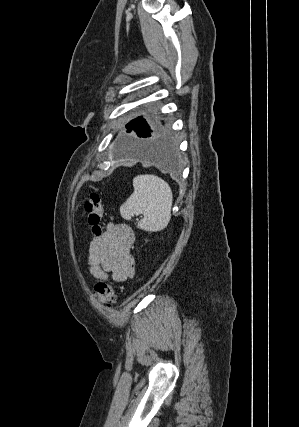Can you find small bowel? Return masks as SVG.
<instances>
[{"label":"small bowel","mask_w":299,"mask_h":427,"mask_svg":"<svg viewBox=\"0 0 299 427\" xmlns=\"http://www.w3.org/2000/svg\"><path fill=\"white\" fill-rule=\"evenodd\" d=\"M135 243L133 229L125 223H109L101 236L93 237L88 249L87 267L97 280L110 276L123 282L135 273L131 250Z\"/></svg>","instance_id":"1"}]
</instances>
